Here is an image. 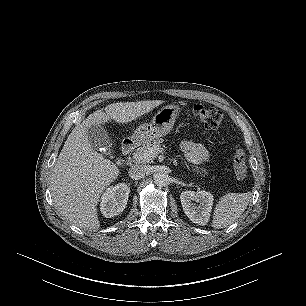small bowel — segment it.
Here are the masks:
<instances>
[{"label":"small bowel","mask_w":306,"mask_h":306,"mask_svg":"<svg viewBox=\"0 0 306 306\" xmlns=\"http://www.w3.org/2000/svg\"><path fill=\"white\" fill-rule=\"evenodd\" d=\"M180 149L185 154L187 161L194 166H198L209 159L208 151L200 143L184 140L180 144Z\"/></svg>","instance_id":"c3829d8e"}]
</instances>
